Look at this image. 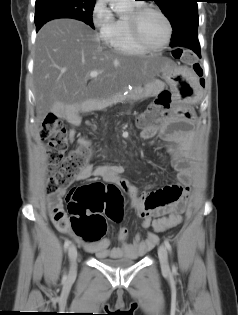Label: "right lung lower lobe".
<instances>
[{
	"instance_id": "obj_1",
	"label": "right lung lower lobe",
	"mask_w": 238,
	"mask_h": 315,
	"mask_svg": "<svg viewBox=\"0 0 238 315\" xmlns=\"http://www.w3.org/2000/svg\"><path fill=\"white\" fill-rule=\"evenodd\" d=\"M45 23H41V24H38L36 25V31H38Z\"/></svg>"
}]
</instances>
